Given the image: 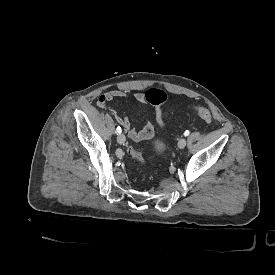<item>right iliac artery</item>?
<instances>
[{"label": "right iliac artery", "instance_id": "82829eb1", "mask_svg": "<svg viewBox=\"0 0 275 275\" xmlns=\"http://www.w3.org/2000/svg\"><path fill=\"white\" fill-rule=\"evenodd\" d=\"M116 132H117L118 134H120V133L122 132V129H121L120 126L117 127Z\"/></svg>", "mask_w": 275, "mask_h": 275}]
</instances>
